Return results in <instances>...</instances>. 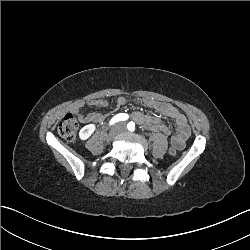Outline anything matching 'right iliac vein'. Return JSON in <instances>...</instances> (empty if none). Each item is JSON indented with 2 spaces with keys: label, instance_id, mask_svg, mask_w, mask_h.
Masks as SVG:
<instances>
[{
  "label": "right iliac vein",
  "instance_id": "obj_1",
  "mask_svg": "<svg viewBox=\"0 0 250 250\" xmlns=\"http://www.w3.org/2000/svg\"><path fill=\"white\" fill-rule=\"evenodd\" d=\"M119 133H120V130H119L118 128L114 127V128L110 131V133L107 135V142L112 141V140L114 139V137H115L116 135H118Z\"/></svg>",
  "mask_w": 250,
  "mask_h": 250
}]
</instances>
